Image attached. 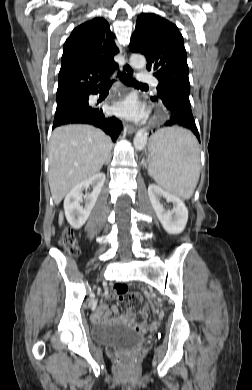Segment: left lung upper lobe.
Returning a JSON list of instances; mask_svg holds the SVG:
<instances>
[{"label":"left lung upper lobe","mask_w":252,"mask_h":390,"mask_svg":"<svg viewBox=\"0 0 252 390\" xmlns=\"http://www.w3.org/2000/svg\"><path fill=\"white\" fill-rule=\"evenodd\" d=\"M129 49L145 55L146 68L159 80L158 94L151 99H157L164 88L190 93L186 50L176 25L153 13H142Z\"/></svg>","instance_id":"obj_1"}]
</instances>
